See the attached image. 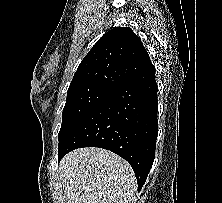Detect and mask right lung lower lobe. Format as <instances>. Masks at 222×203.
Wrapping results in <instances>:
<instances>
[{"instance_id": "1", "label": "right lung lower lobe", "mask_w": 222, "mask_h": 203, "mask_svg": "<svg viewBox=\"0 0 222 203\" xmlns=\"http://www.w3.org/2000/svg\"><path fill=\"white\" fill-rule=\"evenodd\" d=\"M157 91L155 67L150 65L114 90L59 139L58 160L81 147L110 150L129 162L140 191L155 157Z\"/></svg>"}]
</instances>
